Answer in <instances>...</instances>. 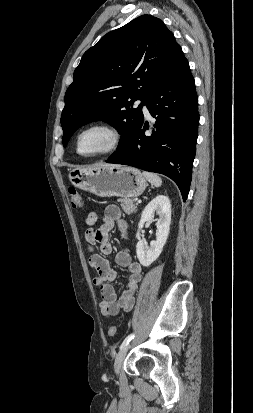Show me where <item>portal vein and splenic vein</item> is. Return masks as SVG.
Returning <instances> with one entry per match:
<instances>
[{"mask_svg":"<svg viewBox=\"0 0 253 413\" xmlns=\"http://www.w3.org/2000/svg\"><path fill=\"white\" fill-rule=\"evenodd\" d=\"M135 201L137 202V203H140L141 201L140 200H138V199H135Z\"/></svg>","mask_w":253,"mask_h":413,"instance_id":"18ae733b","label":"portal vein and splenic vein"}]
</instances>
